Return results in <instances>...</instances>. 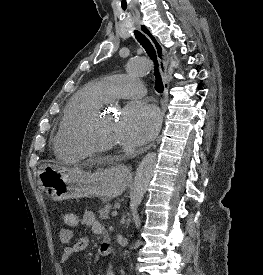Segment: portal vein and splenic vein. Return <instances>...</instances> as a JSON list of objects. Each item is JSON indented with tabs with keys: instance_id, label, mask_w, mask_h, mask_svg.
Listing matches in <instances>:
<instances>
[{
	"instance_id": "18ae733b",
	"label": "portal vein and splenic vein",
	"mask_w": 263,
	"mask_h": 275,
	"mask_svg": "<svg viewBox=\"0 0 263 275\" xmlns=\"http://www.w3.org/2000/svg\"><path fill=\"white\" fill-rule=\"evenodd\" d=\"M117 214H118L117 210H114V211L112 212L111 215H112L113 217H115V216H117Z\"/></svg>"
}]
</instances>
